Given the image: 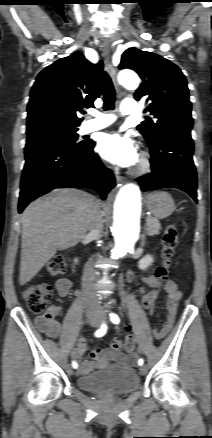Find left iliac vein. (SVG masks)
<instances>
[{
  "mask_svg": "<svg viewBox=\"0 0 212 438\" xmlns=\"http://www.w3.org/2000/svg\"><path fill=\"white\" fill-rule=\"evenodd\" d=\"M102 317L105 318V315H102ZM139 370H140V373H141L142 375H145V374L147 373V370H148V369H147V366H146V365H143V366L140 367Z\"/></svg>",
  "mask_w": 212,
  "mask_h": 438,
  "instance_id": "obj_1",
  "label": "left iliac vein"
}]
</instances>
